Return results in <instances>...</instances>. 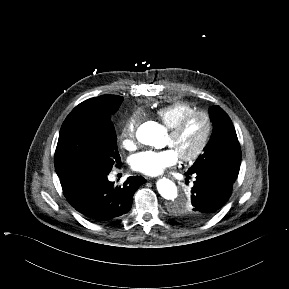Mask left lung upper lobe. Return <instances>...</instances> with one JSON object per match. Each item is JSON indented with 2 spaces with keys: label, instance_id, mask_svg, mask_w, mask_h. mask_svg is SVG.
<instances>
[{
  "label": "left lung upper lobe",
  "instance_id": "1",
  "mask_svg": "<svg viewBox=\"0 0 289 289\" xmlns=\"http://www.w3.org/2000/svg\"><path fill=\"white\" fill-rule=\"evenodd\" d=\"M214 129L211 138L204 148V153L198 157L187 172L195 173L208 169H220L230 173H239L241 149L235 128L226 112L219 106L209 109ZM189 203L172 207V213L184 220L191 219Z\"/></svg>",
  "mask_w": 289,
  "mask_h": 289
}]
</instances>
